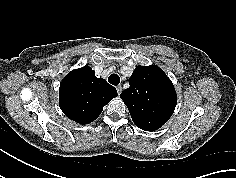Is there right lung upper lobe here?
<instances>
[{"label":"right lung upper lobe","instance_id":"obj_1","mask_svg":"<svg viewBox=\"0 0 236 178\" xmlns=\"http://www.w3.org/2000/svg\"><path fill=\"white\" fill-rule=\"evenodd\" d=\"M59 105L71 120L88 124L102 112L103 106L117 96L106 80L97 78L91 67L71 71L60 84Z\"/></svg>","mask_w":236,"mask_h":178}]
</instances>
